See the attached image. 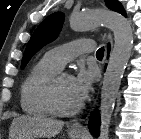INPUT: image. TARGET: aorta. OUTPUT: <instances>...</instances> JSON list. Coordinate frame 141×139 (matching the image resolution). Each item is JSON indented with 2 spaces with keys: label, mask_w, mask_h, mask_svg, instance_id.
Returning a JSON list of instances; mask_svg holds the SVG:
<instances>
[{
  "label": "aorta",
  "mask_w": 141,
  "mask_h": 139,
  "mask_svg": "<svg viewBox=\"0 0 141 139\" xmlns=\"http://www.w3.org/2000/svg\"><path fill=\"white\" fill-rule=\"evenodd\" d=\"M70 27L82 32L104 24L114 34V47L104 75L100 102L99 139H109V128L113 109L119 92L121 79L133 47V33L129 21L119 13L95 10L71 15Z\"/></svg>",
  "instance_id": "aorta-1"
}]
</instances>
